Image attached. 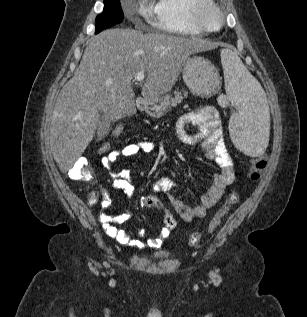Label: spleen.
Segmentation results:
<instances>
[{
    "mask_svg": "<svg viewBox=\"0 0 307 317\" xmlns=\"http://www.w3.org/2000/svg\"><path fill=\"white\" fill-rule=\"evenodd\" d=\"M225 89L239 112L231 116L232 142L249 156L263 154L269 138V110L264 91L236 53L221 51Z\"/></svg>",
    "mask_w": 307,
    "mask_h": 317,
    "instance_id": "spleen-1",
    "label": "spleen"
}]
</instances>
